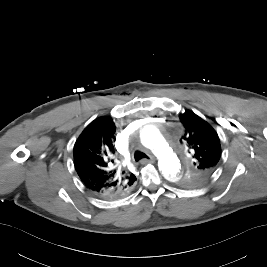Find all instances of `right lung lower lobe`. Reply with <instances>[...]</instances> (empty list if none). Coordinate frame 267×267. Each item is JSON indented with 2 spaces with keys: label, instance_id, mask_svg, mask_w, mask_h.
Masks as SVG:
<instances>
[{
  "label": "right lung lower lobe",
  "instance_id": "1",
  "mask_svg": "<svg viewBox=\"0 0 267 267\" xmlns=\"http://www.w3.org/2000/svg\"><path fill=\"white\" fill-rule=\"evenodd\" d=\"M131 188H132V186H130V187H128L127 189H126V191H130L131 190ZM123 190H124V188H122ZM125 195H123V194H115V195H112V197H103V198H106V199H118V198H121V197H124Z\"/></svg>",
  "mask_w": 267,
  "mask_h": 267
}]
</instances>
